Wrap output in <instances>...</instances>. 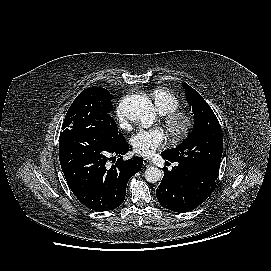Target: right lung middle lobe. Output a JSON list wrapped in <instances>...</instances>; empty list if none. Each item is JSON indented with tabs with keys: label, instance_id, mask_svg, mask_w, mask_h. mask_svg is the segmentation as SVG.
<instances>
[{
	"label": "right lung middle lobe",
	"instance_id": "dd1d6c3e",
	"mask_svg": "<svg viewBox=\"0 0 271 271\" xmlns=\"http://www.w3.org/2000/svg\"><path fill=\"white\" fill-rule=\"evenodd\" d=\"M114 98L108 90L100 87L83 90L71 104L60 133V142L82 138L113 145L123 136L111 117Z\"/></svg>",
	"mask_w": 271,
	"mask_h": 271
}]
</instances>
